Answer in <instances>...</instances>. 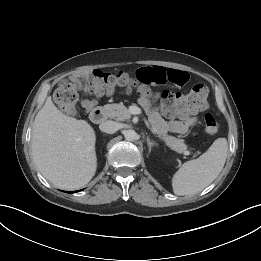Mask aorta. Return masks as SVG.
Instances as JSON below:
<instances>
[{
    "instance_id": "obj_1",
    "label": "aorta",
    "mask_w": 261,
    "mask_h": 261,
    "mask_svg": "<svg viewBox=\"0 0 261 261\" xmlns=\"http://www.w3.org/2000/svg\"><path fill=\"white\" fill-rule=\"evenodd\" d=\"M124 137L127 141H135L138 138V134L136 131L129 129L124 132Z\"/></svg>"
}]
</instances>
